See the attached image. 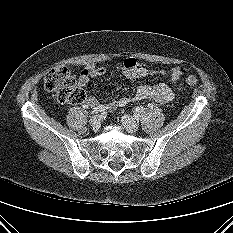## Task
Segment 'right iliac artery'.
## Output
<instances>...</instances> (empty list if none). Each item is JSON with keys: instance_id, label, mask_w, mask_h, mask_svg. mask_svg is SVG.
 <instances>
[{"instance_id": "right-iliac-artery-1", "label": "right iliac artery", "mask_w": 233, "mask_h": 233, "mask_svg": "<svg viewBox=\"0 0 233 233\" xmlns=\"http://www.w3.org/2000/svg\"><path fill=\"white\" fill-rule=\"evenodd\" d=\"M106 108L105 106L101 105V106H98L96 108H94L92 111H91V114L94 115V114H98L99 112H105Z\"/></svg>"}]
</instances>
